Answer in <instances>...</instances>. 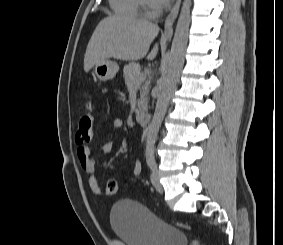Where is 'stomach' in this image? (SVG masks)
Wrapping results in <instances>:
<instances>
[{"mask_svg":"<svg viewBox=\"0 0 283 245\" xmlns=\"http://www.w3.org/2000/svg\"><path fill=\"white\" fill-rule=\"evenodd\" d=\"M119 67L116 62L105 59L95 65L94 72L101 81L113 79L118 72Z\"/></svg>","mask_w":283,"mask_h":245,"instance_id":"obj_1","label":"stomach"}]
</instances>
